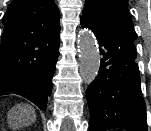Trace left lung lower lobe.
<instances>
[{"mask_svg":"<svg viewBox=\"0 0 151 131\" xmlns=\"http://www.w3.org/2000/svg\"><path fill=\"white\" fill-rule=\"evenodd\" d=\"M81 25L93 31L102 55L98 76L86 91L89 130L147 131L146 105L135 57L125 49L117 31L90 19H82Z\"/></svg>","mask_w":151,"mask_h":131,"instance_id":"obj_1","label":"left lung lower lobe"}]
</instances>
